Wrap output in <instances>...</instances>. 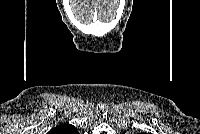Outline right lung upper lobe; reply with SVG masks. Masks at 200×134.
<instances>
[{
	"instance_id": "obj_1",
	"label": "right lung upper lobe",
	"mask_w": 200,
	"mask_h": 134,
	"mask_svg": "<svg viewBox=\"0 0 200 134\" xmlns=\"http://www.w3.org/2000/svg\"><path fill=\"white\" fill-rule=\"evenodd\" d=\"M77 131L74 126L70 124H62L53 128L49 133L50 134H74Z\"/></svg>"
}]
</instances>
